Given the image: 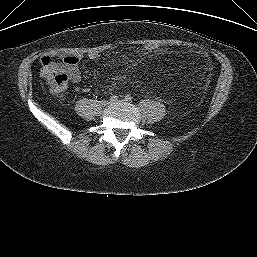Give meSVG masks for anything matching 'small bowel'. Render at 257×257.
<instances>
[{
	"label": "small bowel",
	"instance_id": "small-bowel-1",
	"mask_svg": "<svg viewBox=\"0 0 257 257\" xmlns=\"http://www.w3.org/2000/svg\"><path fill=\"white\" fill-rule=\"evenodd\" d=\"M96 57L97 55L95 53L89 55L90 59H95ZM81 59L82 55L80 54L67 55L62 57L59 63H54V65L62 69L68 75V79L72 83H78L82 77L79 67Z\"/></svg>",
	"mask_w": 257,
	"mask_h": 257
}]
</instances>
